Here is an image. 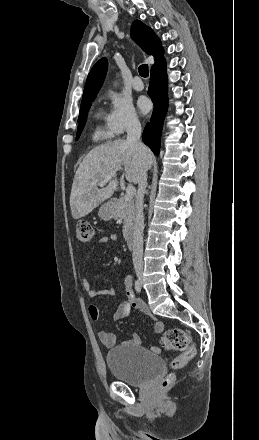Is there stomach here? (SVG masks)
Masks as SVG:
<instances>
[{
	"label": "stomach",
	"mask_w": 259,
	"mask_h": 440,
	"mask_svg": "<svg viewBox=\"0 0 259 440\" xmlns=\"http://www.w3.org/2000/svg\"><path fill=\"white\" fill-rule=\"evenodd\" d=\"M99 217L103 221L111 220L115 215V206L112 202L104 204L98 212Z\"/></svg>",
	"instance_id": "0dacf381"
}]
</instances>
